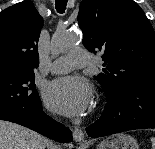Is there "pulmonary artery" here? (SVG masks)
<instances>
[{
	"instance_id": "1",
	"label": "pulmonary artery",
	"mask_w": 155,
	"mask_h": 149,
	"mask_svg": "<svg viewBox=\"0 0 155 149\" xmlns=\"http://www.w3.org/2000/svg\"><path fill=\"white\" fill-rule=\"evenodd\" d=\"M90 63L89 52L85 49L72 50L68 55L56 59L50 66L55 74L67 73L76 67H85Z\"/></svg>"
}]
</instances>
